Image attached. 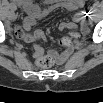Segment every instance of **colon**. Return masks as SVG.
Returning <instances> with one entry per match:
<instances>
[{
  "mask_svg": "<svg viewBox=\"0 0 103 103\" xmlns=\"http://www.w3.org/2000/svg\"><path fill=\"white\" fill-rule=\"evenodd\" d=\"M75 38L74 34H69L67 36L62 37L59 40V46L65 50H68L72 47V40ZM59 57L56 54H47L44 56H40L37 60V65L41 68L48 69L51 68L56 61L59 62Z\"/></svg>",
  "mask_w": 103,
  "mask_h": 103,
  "instance_id": "5ec220e1",
  "label": "colon"
}]
</instances>
